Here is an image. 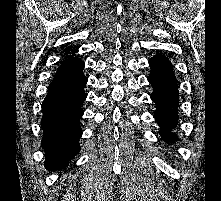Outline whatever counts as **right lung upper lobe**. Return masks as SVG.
I'll return each instance as SVG.
<instances>
[{
    "label": "right lung upper lobe",
    "instance_id": "obj_1",
    "mask_svg": "<svg viewBox=\"0 0 221 201\" xmlns=\"http://www.w3.org/2000/svg\"><path fill=\"white\" fill-rule=\"evenodd\" d=\"M75 51V50H74ZM66 60H79L77 57H74V56H68L67 58H66Z\"/></svg>",
    "mask_w": 221,
    "mask_h": 201
}]
</instances>
